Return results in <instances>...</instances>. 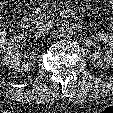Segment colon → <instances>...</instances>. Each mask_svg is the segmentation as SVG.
Listing matches in <instances>:
<instances>
[{
	"label": "colon",
	"mask_w": 113,
	"mask_h": 113,
	"mask_svg": "<svg viewBox=\"0 0 113 113\" xmlns=\"http://www.w3.org/2000/svg\"><path fill=\"white\" fill-rule=\"evenodd\" d=\"M5 43H6V34L3 30L0 29V50L3 48Z\"/></svg>",
	"instance_id": "1"
}]
</instances>
